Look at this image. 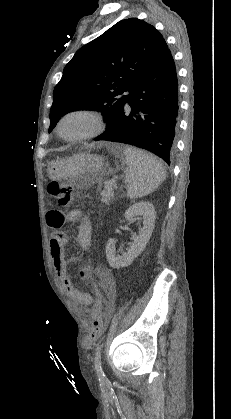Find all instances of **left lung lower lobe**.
Segmentation results:
<instances>
[{"mask_svg":"<svg viewBox=\"0 0 231 419\" xmlns=\"http://www.w3.org/2000/svg\"><path fill=\"white\" fill-rule=\"evenodd\" d=\"M131 98L95 140L127 143L147 149L170 164L175 148L178 82L170 50L130 90ZM131 107L130 114L125 106Z\"/></svg>","mask_w":231,"mask_h":419,"instance_id":"1","label":"left lung lower lobe"}]
</instances>
